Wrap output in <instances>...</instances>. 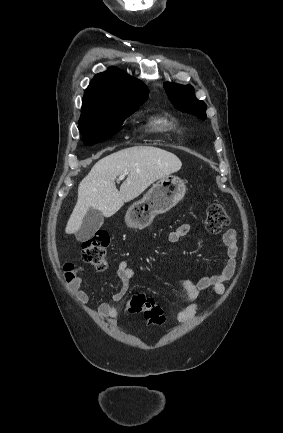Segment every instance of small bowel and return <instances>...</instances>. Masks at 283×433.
Returning <instances> with one entry per match:
<instances>
[{
    "instance_id": "c3829d8e",
    "label": "small bowel",
    "mask_w": 283,
    "mask_h": 433,
    "mask_svg": "<svg viewBox=\"0 0 283 433\" xmlns=\"http://www.w3.org/2000/svg\"><path fill=\"white\" fill-rule=\"evenodd\" d=\"M190 230V225L183 223L169 233L168 239L170 242L176 243L183 237L187 236ZM221 240L226 247V253L222 258L219 270L212 275L201 278L197 283L190 281L183 282V289L186 292L190 303L177 312L176 319L178 322L187 323L195 317L199 307V298L202 292L209 291L217 295H222L226 290L227 284L233 279L238 253L236 231L234 229L226 230L223 233ZM117 275L121 281V287L112 295L113 302H119L124 297L131 280L135 276V272L127 261H121L117 266ZM81 284V277H76L70 283V288L78 302L82 305H87L89 302V296L84 290H82ZM117 313V307L112 303L104 302L98 307V314L108 320L114 319L117 316Z\"/></svg>"
}]
</instances>
